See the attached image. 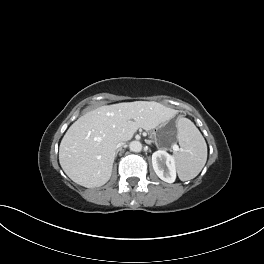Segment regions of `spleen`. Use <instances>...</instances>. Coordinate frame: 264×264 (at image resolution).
I'll return each mask as SVG.
<instances>
[{"mask_svg":"<svg viewBox=\"0 0 264 264\" xmlns=\"http://www.w3.org/2000/svg\"><path fill=\"white\" fill-rule=\"evenodd\" d=\"M177 140L180 151L175 161L178 177L181 181L195 178L207 161V144L194 123L188 118L177 122Z\"/></svg>","mask_w":264,"mask_h":264,"instance_id":"spleen-1","label":"spleen"}]
</instances>
